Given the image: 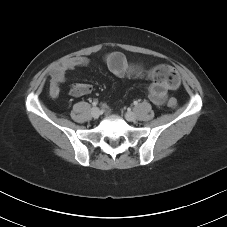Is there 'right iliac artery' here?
<instances>
[{
    "mask_svg": "<svg viewBox=\"0 0 227 227\" xmlns=\"http://www.w3.org/2000/svg\"><path fill=\"white\" fill-rule=\"evenodd\" d=\"M92 105H93V106H96V105H97V102H93Z\"/></svg>",
    "mask_w": 227,
    "mask_h": 227,
    "instance_id": "82829eb1",
    "label": "right iliac artery"
}]
</instances>
